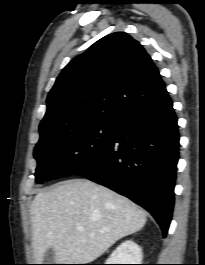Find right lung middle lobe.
<instances>
[{
    "label": "right lung middle lobe",
    "instance_id": "1",
    "mask_svg": "<svg viewBox=\"0 0 205 265\" xmlns=\"http://www.w3.org/2000/svg\"><path fill=\"white\" fill-rule=\"evenodd\" d=\"M118 123L95 122L66 132H40L34 148L36 183L74 175L86 167L114 138Z\"/></svg>",
    "mask_w": 205,
    "mask_h": 265
}]
</instances>
